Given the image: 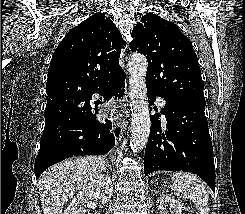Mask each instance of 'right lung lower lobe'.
<instances>
[{
    "label": "right lung lower lobe",
    "instance_id": "obj_1",
    "mask_svg": "<svg viewBox=\"0 0 245 214\" xmlns=\"http://www.w3.org/2000/svg\"><path fill=\"white\" fill-rule=\"evenodd\" d=\"M124 81L123 74L112 81L106 91H100L99 94L106 100L112 96L121 98L124 94ZM71 108L64 95L47 101L45 127L34 166L36 179L49 166L66 158L103 155L115 145L114 135L110 132L111 121L105 120V124L97 122L91 111L90 100L83 102L77 110Z\"/></svg>",
    "mask_w": 245,
    "mask_h": 214
}]
</instances>
